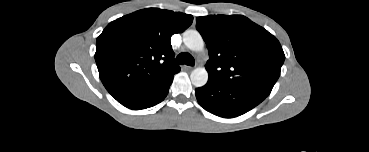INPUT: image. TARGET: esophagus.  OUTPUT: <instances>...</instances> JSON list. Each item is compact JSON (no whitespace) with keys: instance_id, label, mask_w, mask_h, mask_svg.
<instances>
[{"instance_id":"obj_1","label":"esophagus","mask_w":369,"mask_h":152,"mask_svg":"<svg viewBox=\"0 0 369 152\" xmlns=\"http://www.w3.org/2000/svg\"><path fill=\"white\" fill-rule=\"evenodd\" d=\"M193 68L194 67H192V66H187V65L183 66V69L186 70V71H191V70H193Z\"/></svg>"}]
</instances>
